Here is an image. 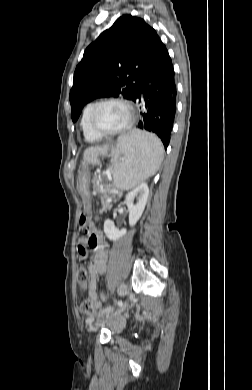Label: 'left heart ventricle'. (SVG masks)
Wrapping results in <instances>:
<instances>
[{
  "mask_svg": "<svg viewBox=\"0 0 252 390\" xmlns=\"http://www.w3.org/2000/svg\"><path fill=\"white\" fill-rule=\"evenodd\" d=\"M97 125L105 131L123 127L129 120L128 109L119 103H106L99 107L95 117Z\"/></svg>",
  "mask_w": 252,
  "mask_h": 390,
  "instance_id": "obj_1",
  "label": "left heart ventricle"
}]
</instances>
